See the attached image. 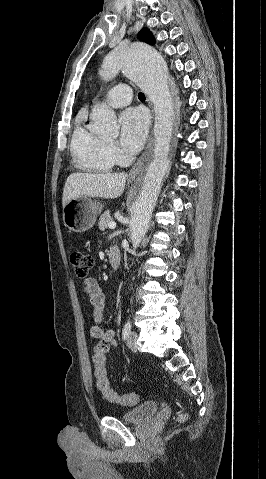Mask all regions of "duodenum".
<instances>
[{
    "mask_svg": "<svg viewBox=\"0 0 266 479\" xmlns=\"http://www.w3.org/2000/svg\"><path fill=\"white\" fill-rule=\"evenodd\" d=\"M109 262L113 270H117L120 266L121 255L118 246L112 245L108 250Z\"/></svg>",
    "mask_w": 266,
    "mask_h": 479,
    "instance_id": "duodenum-1",
    "label": "duodenum"
}]
</instances>
